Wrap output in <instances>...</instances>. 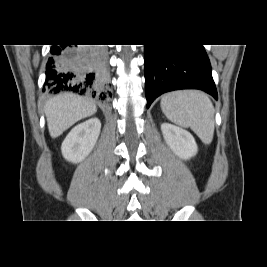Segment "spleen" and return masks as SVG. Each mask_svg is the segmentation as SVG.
Wrapping results in <instances>:
<instances>
[{"mask_svg":"<svg viewBox=\"0 0 267 267\" xmlns=\"http://www.w3.org/2000/svg\"><path fill=\"white\" fill-rule=\"evenodd\" d=\"M165 116L181 127H190L205 144L214 135V107L209 97L196 90L176 91L161 99Z\"/></svg>","mask_w":267,"mask_h":267,"instance_id":"3e777b00","label":"spleen"}]
</instances>
